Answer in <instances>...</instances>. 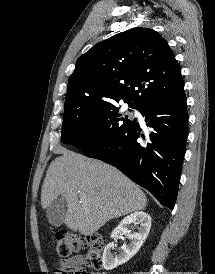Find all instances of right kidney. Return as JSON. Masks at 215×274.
Listing matches in <instances>:
<instances>
[{
  "instance_id": "ca27d5eb",
  "label": "right kidney",
  "mask_w": 215,
  "mask_h": 274,
  "mask_svg": "<svg viewBox=\"0 0 215 274\" xmlns=\"http://www.w3.org/2000/svg\"><path fill=\"white\" fill-rule=\"evenodd\" d=\"M138 232L131 233L128 229L130 226H137ZM151 227L150 216L143 212L138 211L125 217L119 225L113 230L111 234L112 239H116L119 234H125L130 240L129 244H124L118 254H112L114 249L113 243H109L103 252L102 263L106 270H112L119 265L128 262L141 248L146 240Z\"/></svg>"
}]
</instances>
